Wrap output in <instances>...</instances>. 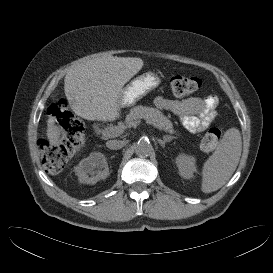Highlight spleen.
I'll list each match as a JSON object with an SVG mask.
<instances>
[{"label": "spleen", "mask_w": 273, "mask_h": 273, "mask_svg": "<svg viewBox=\"0 0 273 273\" xmlns=\"http://www.w3.org/2000/svg\"><path fill=\"white\" fill-rule=\"evenodd\" d=\"M241 151L242 140L239 130L228 129L215 152L202 167V192H214L231 178L238 166Z\"/></svg>", "instance_id": "3e777b00"}]
</instances>
